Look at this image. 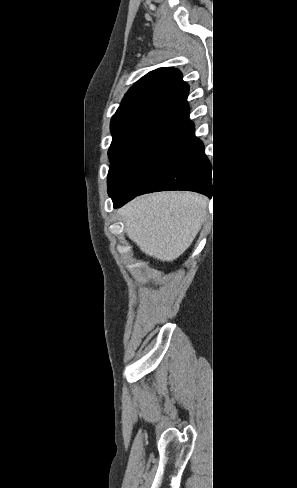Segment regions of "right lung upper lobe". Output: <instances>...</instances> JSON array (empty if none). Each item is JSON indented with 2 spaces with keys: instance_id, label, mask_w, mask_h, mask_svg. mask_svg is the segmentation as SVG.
<instances>
[{
  "instance_id": "right-lung-upper-lobe-1",
  "label": "right lung upper lobe",
  "mask_w": 297,
  "mask_h": 488,
  "mask_svg": "<svg viewBox=\"0 0 297 488\" xmlns=\"http://www.w3.org/2000/svg\"><path fill=\"white\" fill-rule=\"evenodd\" d=\"M189 86L174 68H159L137 81L111 120L113 137L136 131L179 132L189 120Z\"/></svg>"
}]
</instances>
